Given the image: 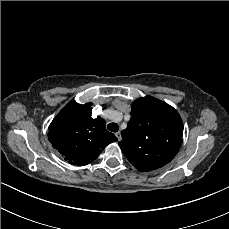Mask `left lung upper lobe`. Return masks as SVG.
<instances>
[{"label":"left lung upper lobe","instance_id":"left-lung-upper-lobe-1","mask_svg":"<svg viewBox=\"0 0 229 229\" xmlns=\"http://www.w3.org/2000/svg\"><path fill=\"white\" fill-rule=\"evenodd\" d=\"M183 122L167 103L151 96L131 105V119L122 131L119 146L129 162L141 172L168 164L182 145Z\"/></svg>","mask_w":229,"mask_h":229}]
</instances>
